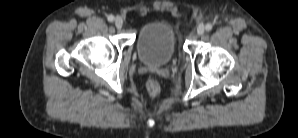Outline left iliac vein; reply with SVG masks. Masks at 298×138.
Returning a JSON list of instances; mask_svg holds the SVG:
<instances>
[{
	"label": "left iliac vein",
	"mask_w": 298,
	"mask_h": 138,
	"mask_svg": "<svg viewBox=\"0 0 298 138\" xmlns=\"http://www.w3.org/2000/svg\"><path fill=\"white\" fill-rule=\"evenodd\" d=\"M196 32L198 35H202L205 32V26L203 24H199Z\"/></svg>",
	"instance_id": "1"
}]
</instances>
